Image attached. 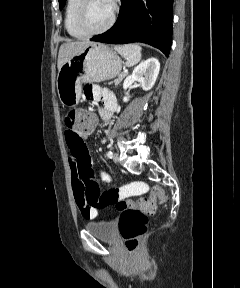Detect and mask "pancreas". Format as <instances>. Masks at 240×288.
<instances>
[{
  "instance_id": "pancreas-1",
  "label": "pancreas",
  "mask_w": 240,
  "mask_h": 288,
  "mask_svg": "<svg viewBox=\"0 0 240 288\" xmlns=\"http://www.w3.org/2000/svg\"><path fill=\"white\" fill-rule=\"evenodd\" d=\"M125 76H126V73L120 74V75L118 76V78L114 80V84H115V85H118V84L123 80V78H124ZM111 83H112V82H111Z\"/></svg>"
}]
</instances>
